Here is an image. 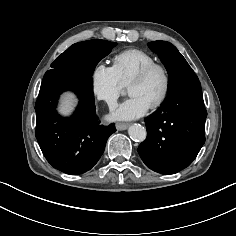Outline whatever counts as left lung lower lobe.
<instances>
[{
	"instance_id": "left-lung-lower-lobe-1",
	"label": "left lung lower lobe",
	"mask_w": 236,
	"mask_h": 236,
	"mask_svg": "<svg viewBox=\"0 0 236 236\" xmlns=\"http://www.w3.org/2000/svg\"><path fill=\"white\" fill-rule=\"evenodd\" d=\"M206 116L199 80L176 87L145 119L147 138L138 147L143 162L161 174L188 167L205 142Z\"/></svg>"
}]
</instances>
